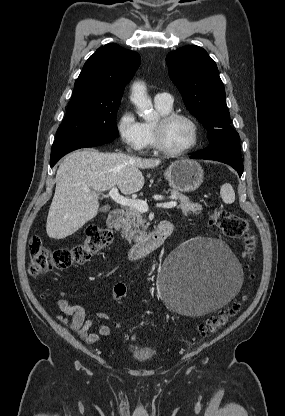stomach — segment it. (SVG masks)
I'll list each match as a JSON object with an SVG mask.
<instances>
[{"label": "stomach", "mask_w": 285, "mask_h": 416, "mask_svg": "<svg viewBox=\"0 0 285 416\" xmlns=\"http://www.w3.org/2000/svg\"><path fill=\"white\" fill-rule=\"evenodd\" d=\"M169 186L177 192H195L203 182V170L194 160H176L164 172Z\"/></svg>", "instance_id": "obj_1"}]
</instances>
